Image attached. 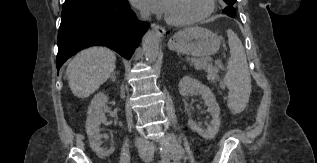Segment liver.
Segmentation results:
<instances>
[{"label":"liver","instance_id":"obj_1","mask_svg":"<svg viewBox=\"0 0 317 163\" xmlns=\"http://www.w3.org/2000/svg\"><path fill=\"white\" fill-rule=\"evenodd\" d=\"M116 56L106 47H91L79 52L66 69L69 87L79 98L93 94L116 68Z\"/></svg>","mask_w":317,"mask_h":163}]
</instances>
